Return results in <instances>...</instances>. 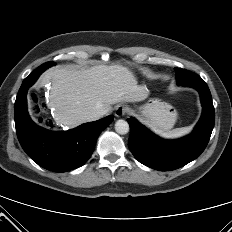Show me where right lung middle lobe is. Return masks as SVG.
I'll return each instance as SVG.
<instances>
[{
    "mask_svg": "<svg viewBox=\"0 0 232 232\" xmlns=\"http://www.w3.org/2000/svg\"><path fill=\"white\" fill-rule=\"evenodd\" d=\"M54 62H47L43 65H41L40 67H38L34 72H32L28 78H33V77H37L39 76L44 70H46L48 67L54 65Z\"/></svg>",
    "mask_w": 232,
    "mask_h": 232,
    "instance_id": "1",
    "label": "right lung middle lobe"
}]
</instances>
